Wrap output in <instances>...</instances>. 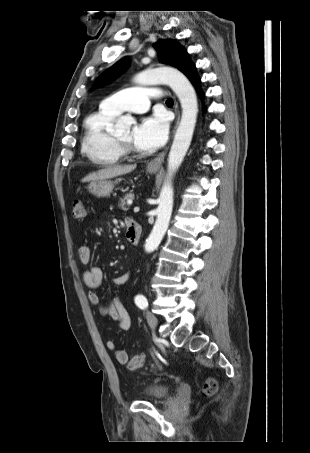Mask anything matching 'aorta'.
Returning <instances> with one entry per match:
<instances>
[{
    "label": "aorta",
    "mask_w": 310,
    "mask_h": 453,
    "mask_svg": "<svg viewBox=\"0 0 310 453\" xmlns=\"http://www.w3.org/2000/svg\"><path fill=\"white\" fill-rule=\"evenodd\" d=\"M134 82L140 85L168 84L177 95L182 107L181 120L168 155V177L160 192L156 222L145 243L146 252H153L159 246L169 226L174 195L171 178L180 167L191 144L197 119L198 102L190 81L175 68L147 69L139 73L134 78ZM133 122L134 119L131 116L120 117L115 125L116 132L127 131Z\"/></svg>",
    "instance_id": "aorta-1"
}]
</instances>
